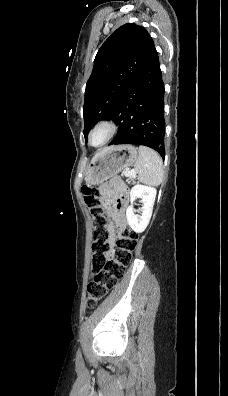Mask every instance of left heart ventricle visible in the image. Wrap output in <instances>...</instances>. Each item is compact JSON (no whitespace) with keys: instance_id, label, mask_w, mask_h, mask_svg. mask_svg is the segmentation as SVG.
I'll list each match as a JSON object with an SVG mask.
<instances>
[{"instance_id":"b2bd125f","label":"left heart ventricle","mask_w":228,"mask_h":396,"mask_svg":"<svg viewBox=\"0 0 228 396\" xmlns=\"http://www.w3.org/2000/svg\"><path fill=\"white\" fill-rule=\"evenodd\" d=\"M105 138V131L104 130H98L94 133L92 142L94 144H100Z\"/></svg>"}]
</instances>
